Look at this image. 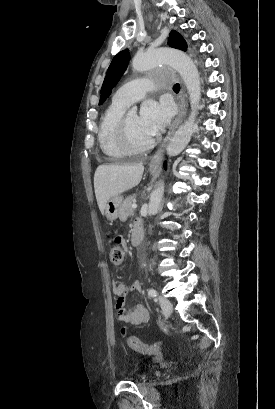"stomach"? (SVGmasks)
Instances as JSON below:
<instances>
[{"label": "stomach", "instance_id": "0dacf381", "mask_svg": "<svg viewBox=\"0 0 275 409\" xmlns=\"http://www.w3.org/2000/svg\"><path fill=\"white\" fill-rule=\"evenodd\" d=\"M150 170L154 174V172H157L158 168H153V166H150ZM122 200L123 196H112V198L107 200L105 207L107 221H116L119 215L120 205H122Z\"/></svg>", "mask_w": 275, "mask_h": 409}]
</instances>
